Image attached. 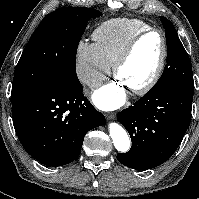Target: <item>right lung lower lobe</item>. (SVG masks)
<instances>
[{
  "label": "right lung lower lobe",
  "instance_id": "obj_1",
  "mask_svg": "<svg viewBox=\"0 0 199 199\" xmlns=\"http://www.w3.org/2000/svg\"><path fill=\"white\" fill-rule=\"evenodd\" d=\"M16 134L24 149L46 166H62L80 154L85 134L105 117L84 97L83 87L42 85L12 102Z\"/></svg>",
  "mask_w": 199,
  "mask_h": 199
}]
</instances>
